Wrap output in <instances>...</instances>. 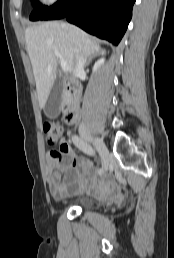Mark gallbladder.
Wrapping results in <instances>:
<instances>
[{"instance_id":"gallbladder-1","label":"gallbladder","mask_w":174,"mask_h":258,"mask_svg":"<svg viewBox=\"0 0 174 258\" xmlns=\"http://www.w3.org/2000/svg\"><path fill=\"white\" fill-rule=\"evenodd\" d=\"M63 94L62 81H56L51 89L49 98L45 106V114L50 119H55L61 113V102Z\"/></svg>"}]
</instances>
